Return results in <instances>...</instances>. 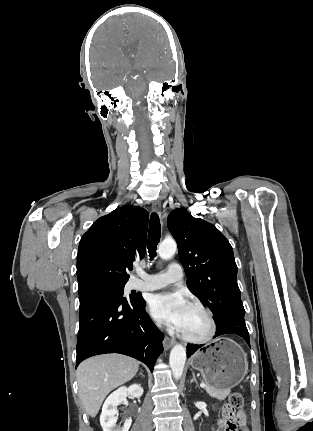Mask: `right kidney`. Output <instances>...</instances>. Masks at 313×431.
<instances>
[{
  "mask_svg": "<svg viewBox=\"0 0 313 431\" xmlns=\"http://www.w3.org/2000/svg\"><path fill=\"white\" fill-rule=\"evenodd\" d=\"M143 388L138 384H133L129 387H120L112 394L108 396L105 400L102 413L100 416V424L103 428V431H128L132 419L129 418L125 420L123 426H118V410L117 407L126 401L127 396H131L134 398H140L143 395Z\"/></svg>",
  "mask_w": 313,
  "mask_h": 431,
  "instance_id": "obj_1",
  "label": "right kidney"
}]
</instances>
